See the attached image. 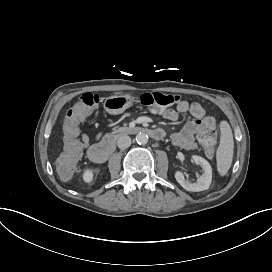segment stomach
Returning <instances> with one entry per match:
<instances>
[{"mask_svg":"<svg viewBox=\"0 0 272 272\" xmlns=\"http://www.w3.org/2000/svg\"><path fill=\"white\" fill-rule=\"evenodd\" d=\"M133 101L134 98L130 95L113 96L107 98L104 106L109 113L117 114L123 112Z\"/></svg>","mask_w":272,"mask_h":272,"instance_id":"1","label":"stomach"}]
</instances>
